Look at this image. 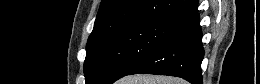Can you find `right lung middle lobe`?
Wrapping results in <instances>:
<instances>
[{"instance_id":"1","label":"right lung middle lobe","mask_w":260,"mask_h":84,"mask_svg":"<svg viewBox=\"0 0 260 84\" xmlns=\"http://www.w3.org/2000/svg\"><path fill=\"white\" fill-rule=\"evenodd\" d=\"M173 24L139 22L87 43L86 84H112L146 57L169 34Z\"/></svg>"}]
</instances>
